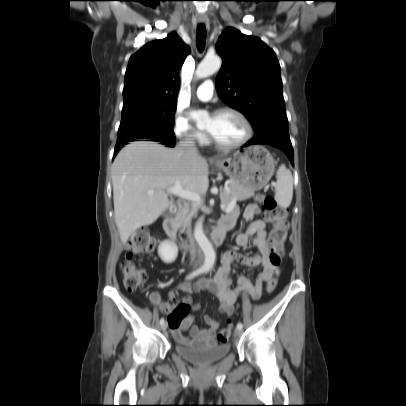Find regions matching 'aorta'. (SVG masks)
<instances>
[{
    "instance_id": "1",
    "label": "aorta",
    "mask_w": 406,
    "mask_h": 406,
    "mask_svg": "<svg viewBox=\"0 0 406 406\" xmlns=\"http://www.w3.org/2000/svg\"><path fill=\"white\" fill-rule=\"evenodd\" d=\"M222 61L218 56H206L203 61L198 65L195 75L197 78H206L216 73L221 67ZM191 119L196 122L197 127H202L209 119V115L206 111H191L189 113ZM203 218H201L195 227L194 236L198 242L201 250L204 253L203 268L209 270L213 267L215 262L214 249L205 236L202 226Z\"/></svg>"
}]
</instances>
